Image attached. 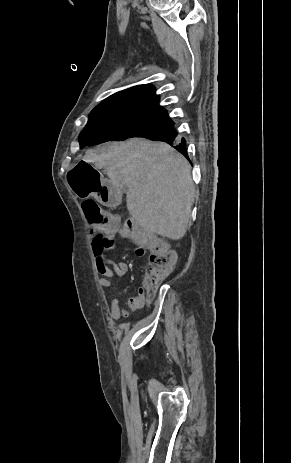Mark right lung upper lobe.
<instances>
[{
	"label": "right lung upper lobe",
	"instance_id": "1",
	"mask_svg": "<svg viewBox=\"0 0 291 463\" xmlns=\"http://www.w3.org/2000/svg\"><path fill=\"white\" fill-rule=\"evenodd\" d=\"M93 110L169 120L166 110L159 106V97L155 94V88L148 84L117 92L102 101Z\"/></svg>",
	"mask_w": 291,
	"mask_h": 463
}]
</instances>
